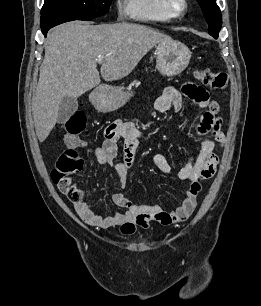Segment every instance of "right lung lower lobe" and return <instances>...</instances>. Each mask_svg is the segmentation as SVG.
I'll return each instance as SVG.
<instances>
[{
    "label": "right lung lower lobe",
    "instance_id": "right-lung-lower-lobe-1",
    "mask_svg": "<svg viewBox=\"0 0 261 306\" xmlns=\"http://www.w3.org/2000/svg\"><path fill=\"white\" fill-rule=\"evenodd\" d=\"M73 18H66V17H41L40 26L42 33L46 37L47 32L50 28L59 25L64 22L73 21Z\"/></svg>",
    "mask_w": 261,
    "mask_h": 306
}]
</instances>
